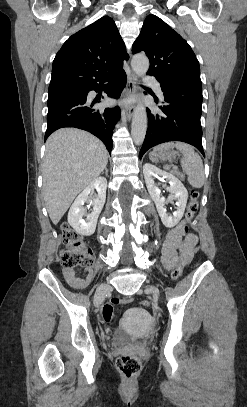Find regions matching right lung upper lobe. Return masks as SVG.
Listing matches in <instances>:
<instances>
[{"label":"right lung upper lobe","mask_w":247,"mask_h":407,"mask_svg":"<svg viewBox=\"0 0 247 407\" xmlns=\"http://www.w3.org/2000/svg\"><path fill=\"white\" fill-rule=\"evenodd\" d=\"M128 59L112 18L104 16L72 35L55 56L49 90L87 87Z\"/></svg>","instance_id":"cb5924a9"}]
</instances>
